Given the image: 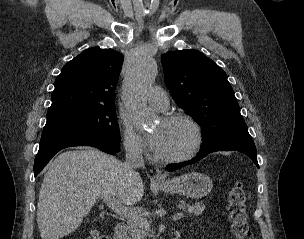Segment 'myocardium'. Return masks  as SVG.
I'll return each mask as SVG.
<instances>
[{"instance_id":"obj_1","label":"myocardium","mask_w":304,"mask_h":239,"mask_svg":"<svg viewBox=\"0 0 304 239\" xmlns=\"http://www.w3.org/2000/svg\"><path fill=\"white\" fill-rule=\"evenodd\" d=\"M165 122H184L190 126L193 131V141L191 146L183 153L178 155H160L155 154L156 160L163 163H180L193 158L200 150L203 144V130L201 125L190 115L185 113H173L166 115Z\"/></svg>"}]
</instances>
